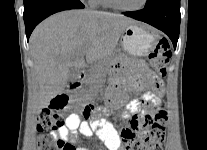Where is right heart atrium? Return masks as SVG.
I'll use <instances>...</instances> for the list:
<instances>
[{"label": "right heart atrium", "instance_id": "obj_1", "mask_svg": "<svg viewBox=\"0 0 207 150\" xmlns=\"http://www.w3.org/2000/svg\"><path fill=\"white\" fill-rule=\"evenodd\" d=\"M86 1L92 2L93 0H86Z\"/></svg>", "mask_w": 207, "mask_h": 150}]
</instances>
